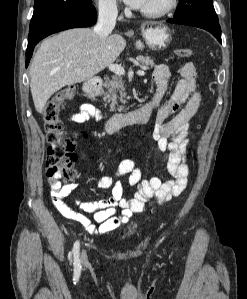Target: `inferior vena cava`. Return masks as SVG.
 <instances>
[{
    "label": "inferior vena cava",
    "mask_w": 247,
    "mask_h": 299,
    "mask_svg": "<svg viewBox=\"0 0 247 299\" xmlns=\"http://www.w3.org/2000/svg\"><path fill=\"white\" fill-rule=\"evenodd\" d=\"M118 15L117 6L115 3L99 5L98 21L95 25L94 32L100 39H106L116 24Z\"/></svg>",
    "instance_id": "inferior-vena-cava-1"
}]
</instances>
